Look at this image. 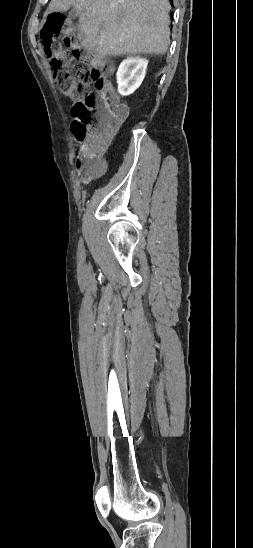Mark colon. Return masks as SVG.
Listing matches in <instances>:
<instances>
[{"mask_svg":"<svg viewBox=\"0 0 253 548\" xmlns=\"http://www.w3.org/2000/svg\"><path fill=\"white\" fill-rule=\"evenodd\" d=\"M64 17L52 13L42 31L43 48L54 69V82L64 95L74 100L71 109L72 128L82 143L77 168L85 180L102 173L101 154L111 135L127 115V107L120 101L105 79L110 66L82 53L64 34Z\"/></svg>","mask_w":253,"mask_h":548,"instance_id":"colon-1","label":"colon"}]
</instances>
